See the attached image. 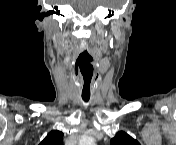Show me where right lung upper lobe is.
Listing matches in <instances>:
<instances>
[{
	"label": "right lung upper lobe",
	"mask_w": 176,
	"mask_h": 145,
	"mask_svg": "<svg viewBox=\"0 0 176 145\" xmlns=\"http://www.w3.org/2000/svg\"><path fill=\"white\" fill-rule=\"evenodd\" d=\"M63 133L53 130L44 138L40 145H63Z\"/></svg>",
	"instance_id": "right-lung-upper-lobe-1"
}]
</instances>
